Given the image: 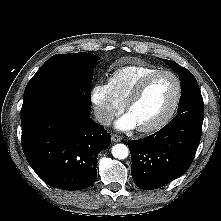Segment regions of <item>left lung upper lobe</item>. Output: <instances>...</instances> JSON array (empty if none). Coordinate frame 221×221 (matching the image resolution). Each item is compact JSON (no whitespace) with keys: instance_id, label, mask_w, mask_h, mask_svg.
Listing matches in <instances>:
<instances>
[{"instance_id":"obj_1","label":"left lung upper lobe","mask_w":221,"mask_h":221,"mask_svg":"<svg viewBox=\"0 0 221 221\" xmlns=\"http://www.w3.org/2000/svg\"><path fill=\"white\" fill-rule=\"evenodd\" d=\"M164 62L168 63L175 72H178L181 79L182 94L179 100L177 116L188 112L203 115V98L193 74L174 61L164 59Z\"/></svg>"}]
</instances>
